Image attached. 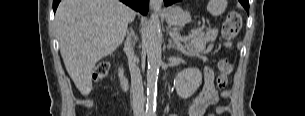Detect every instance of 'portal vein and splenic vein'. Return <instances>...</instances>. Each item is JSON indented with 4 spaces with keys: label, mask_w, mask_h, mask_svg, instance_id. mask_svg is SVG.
<instances>
[{
    "label": "portal vein and splenic vein",
    "mask_w": 305,
    "mask_h": 116,
    "mask_svg": "<svg viewBox=\"0 0 305 116\" xmlns=\"http://www.w3.org/2000/svg\"><path fill=\"white\" fill-rule=\"evenodd\" d=\"M202 30L201 29H199V30H195L194 32H193V34L192 35H197L199 32H201ZM172 35L174 36V37H176L177 39H179V34H177V33H172Z\"/></svg>",
    "instance_id": "18ae733b"
}]
</instances>
